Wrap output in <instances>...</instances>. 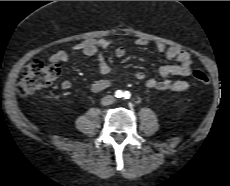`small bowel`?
<instances>
[{
    "mask_svg": "<svg viewBox=\"0 0 230 186\" xmlns=\"http://www.w3.org/2000/svg\"><path fill=\"white\" fill-rule=\"evenodd\" d=\"M147 41L138 39L137 46H145ZM110 41L105 38H94L81 42L74 47V53L94 57L98 64L99 72L102 75L110 73L111 68L105 59L102 50L108 48ZM156 50L163 54L167 59L175 61L174 64H167L159 69V78H149L146 80V87L153 90L182 92L189 88V83L185 80L172 81L171 76H189L192 72V56L190 52L181 50L176 46L167 47L164 43H157ZM72 53L66 51H57L48 58L53 63H63L71 59ZM115 55L118 58H123L126 55V50L123 47H118L115 50ZM134 78L137 80H145L146 75L143 72H136ZM112 81L108 78H103L94 81L91 84L93 92H100L111 87ZM72 83L69 80H64L61 87L64 90H70Z\"/></svg>",
    "mask_w": 230,
    "mask_h": 186,
    "instance_id": "1",
    "label": "small bowel"
}]
</instances>
